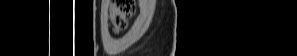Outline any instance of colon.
I'll return each mask as SVG.
<instances>
[{"label":"colon","mask_w":297,"mask_h":56,"mask_svg":"<svg viewBox=\"0 0 297 56\" xmlns=\"http://www.w3.org/2000/svg\"><path fill=\"white\" fill-rule=\"evenodd\" d=\"M134 12L132 0H115L111 6V21L116 31L124 28Z\"/></svg>","instance_id":"1"}]
</instances>
